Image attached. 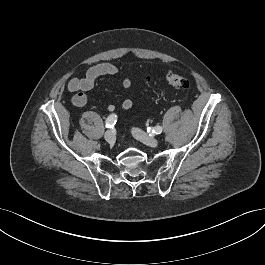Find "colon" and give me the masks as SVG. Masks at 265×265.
Masks as SVG:
<instances>
[{
	"label": "colon",
	"mask_w": 265,
	"mask_h": 265,
	"mask_svg": "<svg viewBox=\"0 0 265 265\" xmlns=\"http://www.w3.org/2000/svg\"><path fill=\"white\" fill-rule=\"evenodd\" d=\"M166 80L169 85L177 89H187L189 87V81L187 78L173 72L167 73Z\"/></svg>",
	"instance_id": "1"
}]
</instances>
